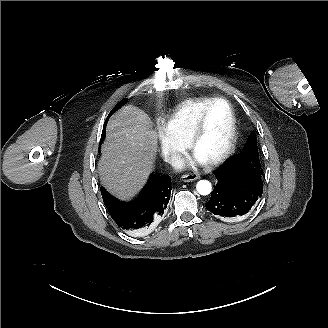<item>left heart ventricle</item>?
I'll return each mask as SVG.
<instances>
[{
  "label": "left heart ventricle",
  "instance_id": "obj_1",
  "mask_svg": "<svg viewBox=\"0 0 328 328\" xmlns=\"http://www.w3.org/2000/svg\"><path fill=\"white\" fill-rule=\"evenodd\" d=\"M231 129V116L225 103H217L207 114L204 129L197 140L194 153L204 160L218 155L227 145Z\"/></svg>",
  "mask_w": 328,
  "mask_h": 328
}]
</instances>
